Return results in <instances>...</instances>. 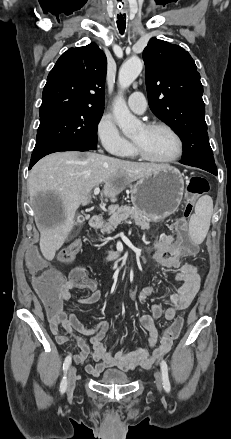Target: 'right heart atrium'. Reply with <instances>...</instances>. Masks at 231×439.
Here are the masks:
<instances>
[{
	"label": "right heart atrium",
	"mask_w": 231,
	"mask_h": 439,
	"mask_svg": "<svg viewBox=\"0 0 231 439\" xmlns=\"http://www.w3.org/2000/svg\"><path fill=\"white\" fill-rule=\"evenodd\" d=\"M96 136L102 147L115 156L128 155L132 146L121 134L115 120L108 114H104L96 125Z\"/></svg>",
	"instance_id": "obj_1"
}]
</instances>
